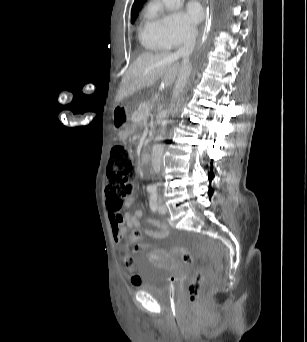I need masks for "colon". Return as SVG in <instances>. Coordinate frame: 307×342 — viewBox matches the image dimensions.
I'll return each instance as SVG.
<instances>
[{"mask_svg":"<svg viewBox=\"0 0 307 342\" xmlns=\"http://www.w3.org/2000/svg\"><path fill=\"white\" fill-rule=\"evenodd\" d=\"M134 168L132 165V157L128 148L123 143L114 145L111 149V158L107 170V186L106 194L111 200V211L118 214L123 210L125 200L133 192ZM140 230H133L131 241L136 242L132 247L138 251H144L145 245L140 244ZM171 254L173 257H180L184 263H191L193 261V254L190 250L183 246H172ZM126 264L131 266L134 263V257L129 255L126 257ZM190 275L192 281H186V288L188 294H185L186 307H201L200 295H203V288H205V270L191 269ZM130 282L133 286H140L142 278L138 274H132Z\"/></svg>","mask_w":307,"mask_h":342,"instance_id":"1","label":"colon"}]
</instances>
